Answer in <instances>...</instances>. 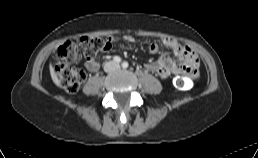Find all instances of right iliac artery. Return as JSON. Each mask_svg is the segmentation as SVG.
<instances>
[{
	"instance_id": "obj_1",
	"label": "right iliac artery",
	"mask_w": 258,
	"mask_h": 158,
	"mask_svg": "<svg viewBox=\"0 0 258 158\" xmlns=\"http://www.w3.org/2000/svg\"><path fill=\"white\" fill-rule=\"evenodd\" d=\"M113 61L116 62V63H120L121 58L119 56H115V57H113Z\"/></svg>"
}]
</instances>
